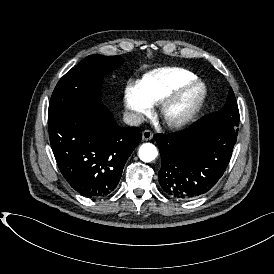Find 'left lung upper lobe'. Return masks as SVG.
<instances>
[{
	"label": "left lung upper lobe",
	"mask_w": 274,
	"mask_h": 274,
	"mask_svg": "<svg viewBox=\"0 0 274 274\" xmlns=\"http://www.w3.org/2000/svg\"><path fill=\"white\" fill-rule=\"evenodd\" d=\"M203 122L222 126L228 130L238 132L240 115L232 88L228 93L227 102L218 112H213L201 118Z\"/></svg>",
	"instance_id": "left-lung-upper-lobe-1"
}]
</instances>
